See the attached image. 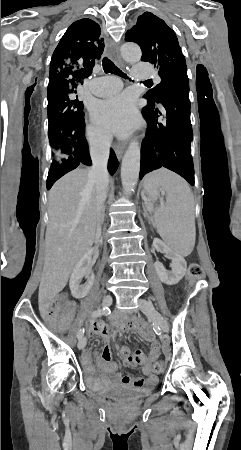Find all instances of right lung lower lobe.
Wrapping results in <instances>:
<instances>
[{
	"instance_id": "98d812e1",
	"label": "right lung lower lobe",
	"mask_w": 241,
	"mask_h": 450,
	"mask_svg": "<svg viewBox=\"0 0 241 450\" xmlns=\"http://www.w3.org/2000/svg\"><path fill=\"white\" fill-rule=\"evenodd\" d=\"M62 134L68 139L72 148L73 155L67 158L52 160L51 167L47 177V189H50L54 182L67 172L75 169L80 163L91 165V158L88 151V144L85 138V123H75L65 126L61 129ZM119 162L113 150L110 152L108 161V170L114 174Z\"/></svg>"
}]
</instances>
